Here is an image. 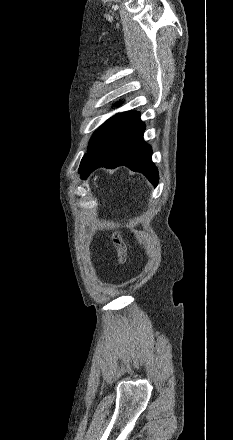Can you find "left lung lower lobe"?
<instances>
[{"mask_svg": "<svg viewBox=\"0 0 233 440\" xmlns=\"http://www.w3.org/2000/svg\"><path fill=\"white\" fill-rule=\"evenodd\" d=\"M145 124L139 112L120 113L102 132L82 160L81 177L86 178L99 167L116 168L125 165L143 173L154 185L158 184V171L151 156V146L143 141Z\"/></svg>", "mask_w": 233, "mask_h": 440, "instance_id": "0a47b994", "label": "left lung lower lobe"}]
</instances>
